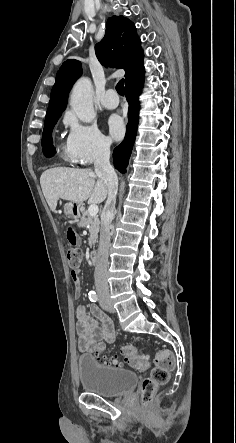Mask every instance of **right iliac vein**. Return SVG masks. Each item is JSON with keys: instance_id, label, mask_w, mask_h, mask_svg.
<instances>
[{"instance_id": "right-iliac-vein-1", "label": "right iliac vein", "mask_w": 236, "mask_h": 443, "mask_svg": "<svg viewBox=\"0 0 236 443\" xmlns=\"http://www.w3.org/2000/svg\"><path fill=\"white\" fill-rule=\"evenodd\" d=\"M102 307L107 309V310L115 312V309H114L112 304H109V303L108 304H103Z\"/></svg>"}]
</instances>
